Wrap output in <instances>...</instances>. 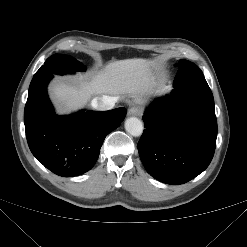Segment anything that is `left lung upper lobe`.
I'll return each mask as SVG.
<instances>
[{"label":"left lung upper lobe","mask_w":247,"mask_h":247,"mask_svg":"<svg viewBox=\"0 0 247 247\" xmlns=\"http://www.w3.org/2000/svg\"><path fill=\"white\" fill-rule=\"evenodd\" d=\"M179 68L175 76L174 86H186L193 84H207L202 71L194 63L188 60H180L175 64Z\"/></svg>","instance_id":"1"}]
</instances>
